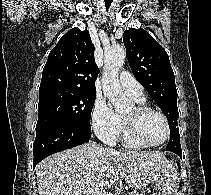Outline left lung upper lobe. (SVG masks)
<instances>
[{
  "mask_svg": "<svg viewBox=\"0 0 211 195\" xmlns=\"http://www.w3.org/2000/svg\"><path fill=\"white\" fill-rule=\"evenodd\" d=\"M130 68L168 119L170 140L166 150H181L177 120V90L169 56L145 30L130 28L123 34Z\"/></svg>",
  "mask_w": 211,
  "mask_h": 195,
  "instance_id": "1",
  "label": "left lung upper lobe"
}]
</instances>
